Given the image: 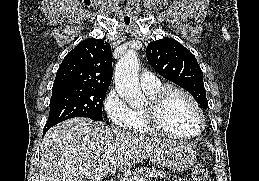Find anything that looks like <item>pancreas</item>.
I'll use <instances>...</instances> for the list:
<instances>
[{
	"label": "pancreas",
	"mask_w": 259,
	"mask_h": 181,
	"mask_svg": "<svg viewBox=\"0 0 259 181\" xmlns=\"http://www.w3.org/2000/svg\"><path fill=\"white\" fill-rule=\"evenodd\" d=\"M167 175H169L167 172H164L163 170H156L155 168H138L134 170L130 176L131 181H148V179L151 178H159L163 179L166 178Z\"/></svg>",
	"instance_id": "pancreas-1"
}]
</instances>
